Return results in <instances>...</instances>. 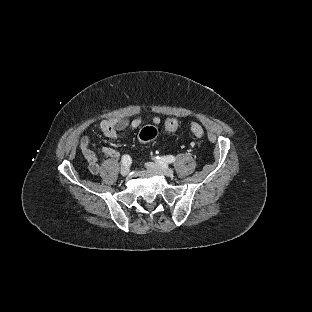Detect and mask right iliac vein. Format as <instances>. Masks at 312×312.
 Instances as JSON below:
<instances>
[{"label":"right iliac vein","mask_w":312,"mask_h":312,"mask_svg":"<svg viewBox=\"0 0 312 312\" xmlns=\"http://www.w3.org/2000/svg\"><path fill=\"white\" fill-rule=\"evenodd\" d=\"M129 172H130V168H129V166H122L121 167V169H120V173H121V175L122 176H127L128 174H129Z\"/></svg>","instance_id":"63e3f726"}]
</instances>
